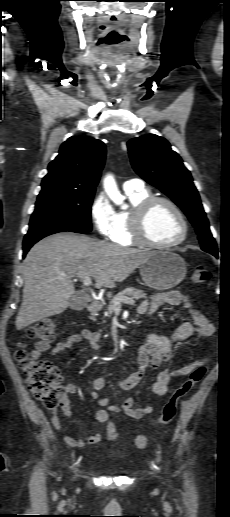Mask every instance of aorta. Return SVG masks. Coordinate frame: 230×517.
Masks as SVG:
<instances>
[{
	"label": "aorta",
	"mask_w": 230,
	"mask_h": 517,
	"mask_svg": "<svg viewBox=\"0 0 230 517\" xmlns=\"http://www.w3.org/2000/svg\"><path fill=\"white\" fill-rule=\"evenodd\" d=\"M104 190L109 198L117 205L123 207V196L120 194L114 177L110 174L106 175L103 180Z\"/></svg>",
	"instance_id": "obj_1"
}]
</instances>
